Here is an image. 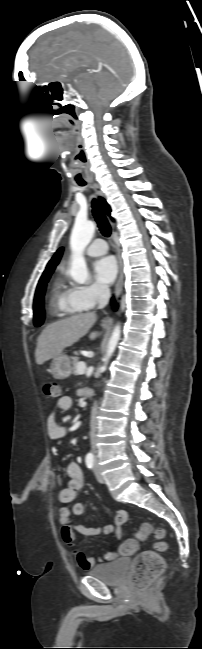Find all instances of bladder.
<instances>
[{
    "label": "bladder",
    "mask_w": 202,
    "mask_h": 649,
    "mask_svg": "<svg viewBox=\"0 0 202 649\" xmlns=\"http://www.w3.org/2000/svg\"><path fill=\"white\" fill-rule=\"evenodd\" d=\"M129 564L128 558H120L111 563L94 566L88 571V574L105 584L116 585L123 580Z\"/></svg>",
    "instance_id": "bladder-1"
}]
</instances>
